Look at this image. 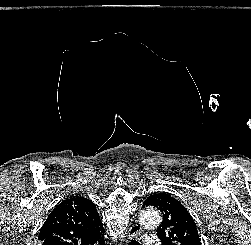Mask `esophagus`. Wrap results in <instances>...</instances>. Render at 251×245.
I'll list each match as a JSON object with an SVG mask.
<instances>
[{
    "label": "esophagus",
    "mask_w": 251,
    "mask_h": 245,
    "mask_svg": "<svg viewBox=\"0 0 251 245\" xmlns=\"http://www.w3.org/2000/svg\"><path fill=\"white\" fill-rule=\"evenodd\" d=\"M141 232V227L138 224H132L127 232V239H122L120 245H124V241L127 242L128 240L137 237Z\"/></svg>",
    "instance_id": "34e87169"
}]
</instances>
